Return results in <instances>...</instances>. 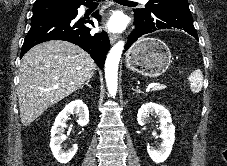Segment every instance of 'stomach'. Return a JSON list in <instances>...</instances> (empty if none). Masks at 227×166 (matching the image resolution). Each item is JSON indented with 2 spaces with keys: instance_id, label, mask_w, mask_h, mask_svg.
Returning a JSON list of instances; mask_svg holds the SVG:
<instances>
[{
  "instance_id": "1",
  "label": "stomach",
  "mask_w": 227,
  "mask_h": 166,
  "mask_svg": "<svg viewBox=\"0 0 227 166\" xmlns=\"http://www.w3.org/2000/svg\"><path fill=\"white\" fill-rule=\"evenodd\" d=\"M171 63L168 46L159 39L143 37L126 54V66L147 77L162 75Z\"/></svg>"
}]
</instances>
